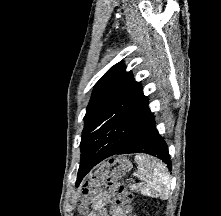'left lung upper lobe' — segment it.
Listing matches in <instances>:
<instances>
[{"mask_svg":"<svg viewBox=\"0 0 221 216\" xmlns=\"http://www.w3.org/2000/svg\"><path fill=\"white\" fill-rule=\"evenodd\" d=\"M150 113L141 83L117 63L95 85L84 117L81 154L98 145L119 150Z\"/></svg>","mask_w":221,"mask_h":216,"instance_id":"5c2ea615","label":"left lung upper lobe"}]
</instances>
